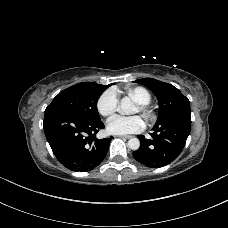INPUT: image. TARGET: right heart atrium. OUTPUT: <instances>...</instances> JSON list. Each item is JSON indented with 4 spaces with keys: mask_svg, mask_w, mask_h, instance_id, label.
<instances>
[{
    "mask_svg": "<svg viewBox=\"0 0 228 228\" xmlns=\"http://www.w3.org/2000/svg\"><path fill=\"white\" fill-rule=\"evenodd\" d=\"M118 107V95L113 89H107L98 97L96 108L98 112L104 116H111Z\"/></svg>",
    "mask_w": 228,
    "mask_h": 228,
    "instance_id": "1",
    "label": "right heart atrium"
}]
</instances>
